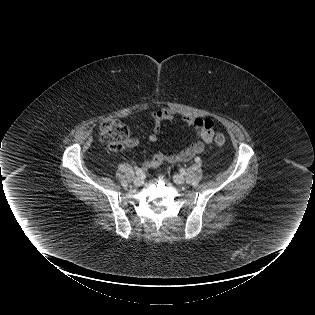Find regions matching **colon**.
I'll return each instance as SVG.
<instances>
[{
    "mask_svg": "<svg viewBox=\"0 0 315 315\" xmlns=\"http://www.w3.org/2000/svg\"><path fill=\"white\" fill-rule=\"evenodd\" d=\"M100 135L107 148L114 152L122 151L129 139L127 127L116 120L102 124ZM214 143L217 146H223L226 143V137L221 133H217L214 136Z\"/></svg>",
    "mask_w": 315,
    "mask_h": 315,
    "instance_id": "5ec220e1",
    "label": "colon"
}]
</instances>
